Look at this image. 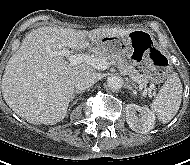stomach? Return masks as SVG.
<instances>
[{"label": "stomach", "mask_w": 190, "mask_h": 165, "mask_svg": "<svg viewBox=\"0 0 190 165\" xmlns=\"http://www.w3.org/2000/svg\"><path fill=\"white\" fill-rule=\"evenodd\" d=\"M94 48L99 54L129 57L130 66L137 72H143L146 81L159 82L170 69L169 56L157 49L148 32L124 31L119 37L106 36Z\"/></svg>", "instance_id": "1"}]
</instances>
